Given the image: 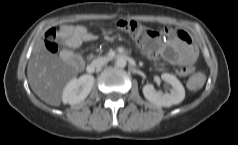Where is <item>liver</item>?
Instances as JSON below:
<instances>
[{
    "label": "liver",
    "instance_id": "liver-1",
    "mask_svg": "<svg viewBox=\"0 0 238 145\" xmlns=\"http://www.w3.org/2000/svg\"><path fill=\"white\" fill-rule=\"evenodd\" d=\"M85 32L81 26H64L61 37ZM83 68L74 54L65 49L59 56L50 53L44 41L40 40L33 49L27 66V76L31 89L44 102L60 106L63 87Z\"/></svg>",
    "mask_w": 238,
    "mask_h": 145
}]
</instances>
